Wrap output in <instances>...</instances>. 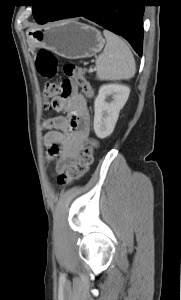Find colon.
<instances>
[{
  "instance_id": "1",
  "label": "colon",
  "mask_w": 181,
  "mask_h": 300,
  "mask_svg": "<svg viewBox=\"0 0 181 300\" xmlns=\"http://www.w3.org/2000/svg\"><path fill=\"white\" fill-rule=\"evenodd\" d=\"M37 70L41 77L51 80L58 74L59 61L57 57L48 50H40L37 54ZM64 73L75 84H77L87 97H92L93 91L85 79V69L75 64L68 63L63 67ZM62 84L49 81L46 83L43 91L45 109L50 108L49 99L59 94ZM98 143L95 139H90L85 147L79 153L76 161L69 164L57 176V183L62 186H68L74 181L82 178L89 169L93 161V154Z\"/></svg>"
}]
</instances>
